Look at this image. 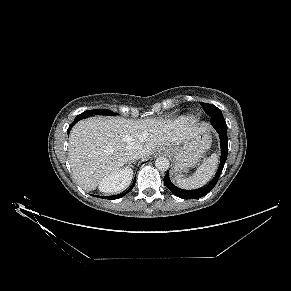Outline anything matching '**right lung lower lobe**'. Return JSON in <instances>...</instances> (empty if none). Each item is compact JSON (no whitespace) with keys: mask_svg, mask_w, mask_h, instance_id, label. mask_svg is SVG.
Masks as SVG:
<instances>
[{"mask_svg":"<svg viewBox=\"0 0 291 291\" xmlns=\"http://www.w3.org/2000/svg\"><path fill=\"white\" fill-rule=\"evenodd\" d=\"M76 122H77V121L74 120V122H73V123L71 124V126L68 128V131H67V132H68V135H69V132H70L71 127H72ZM135 182H136V179H134V181H133L131 187H130L126 192H124V193H122V194H120V195H117V196H115V197L112 198V199L121 198V197H123L124 195H126L127 193H129V192L132 190V188L134 187Z\"/></svg>","mask_w":291,"mask_h":291,"instance_id":"1","label":"right lung lower lobe"}]
</instances>
